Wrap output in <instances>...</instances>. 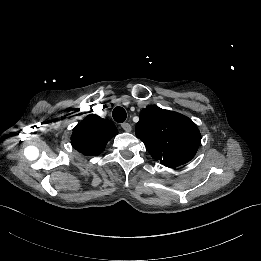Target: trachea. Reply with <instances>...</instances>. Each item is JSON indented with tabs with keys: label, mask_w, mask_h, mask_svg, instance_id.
<instances>
[{
	"label": "trachea",
	"mask_w": 261,
	"mask_h": 261,
	"mask_svg": "<svg viewBox=\"0 0 261 261\" xmlns=\"http://www.w3.org/2000/svg\"><path fill=\"white\" fill-rule=\"evenodd\" d=\"M127 114L123 107H115L113 110V118L116 122L122 123L126 120Z\"/></svg>",
	"instance_id": "obj_1"
}]
</instances>
